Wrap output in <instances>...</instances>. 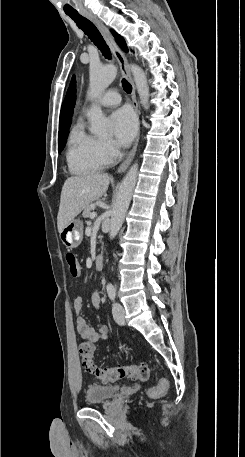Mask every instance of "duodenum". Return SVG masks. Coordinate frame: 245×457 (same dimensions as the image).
I'll return each mask as SVG.
<instances>
[{
	"label": "duodenum",
	"mask_w": 245,
	"mask_h": 457,
	"mask_svg": "<svg viewBox=\"0 0 245 457\" xmlns=\"http://www.w3.org/2000/svg\"><path fill=\"white\" fill-rule=\"evenodd\" d=\"M104 258L102 254H98L94 258V265L97 269H101L103 267Z\"/></svg>",
	"instance_id": "duodenum-1"
}]
</instances>
